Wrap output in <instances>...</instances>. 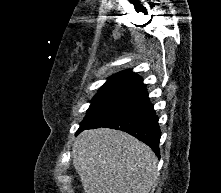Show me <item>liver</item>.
I'll use <instances>...</instances> for the list:
<instances>
[{
    "label": "liver",
    "instance_id": "obj_1",
    "mask_svg": "<svg viewBox=\"0 0 221 193\" xmlns=\"http://www.w3.org/2000/svg\"><path fill=\"white\" fill-rule=\"evenodd\" d=\"M84 193H149L157 157L146 144L115 129L83 131L72 149Z\"/></svg>",
    "mask_w": 221,
    "mask_h": 193
}]
</instances>
